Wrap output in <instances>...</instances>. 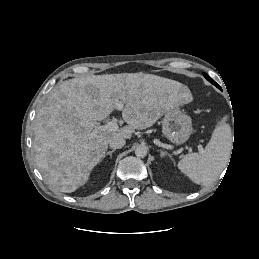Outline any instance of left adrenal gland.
Masks as SVG:
<instances>
[{
  "label": "left adrenal gland",
  "instance_id": "obj_1",
  "mask_svg": "<svg viewBox=\"0 0 259 259\" xmlns=\"http://www.w3.org/2000/svg\"><path fill=\"white\" fill-rule=\"evenodd\" d=\"M159 152H160V156H161V157H164V156H169V157H171L170 155H168L167 152H165V151H163V150H159Z\"/></svg>",
  "mask_w": 259,
  "mask_h": 259
}]
</instances>
